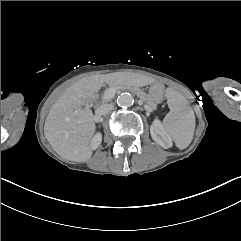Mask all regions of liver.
Returning a JSON list of instances; mask_svg holds the SVG:
<instances>
[{"instance_id":"liver-1","label":"liver","mask_w":241,"mask_h":241,"mask_svg":"<svg viewBox=\"0 0 241 241\" xmlns=\"http://www.w3.org/2000/svg\"><path fill=\"white\" fill-rule=\"evenodd\" d=\"M117 73L97 74L73 83L52 105L44 125V134L54 150L63 158L86 162L92 155L96 132L93 112L86 104L94 100L104 83L113 87L121 82ZM83 109L81 112H76Z\"/></svg>"}]
</instances>
